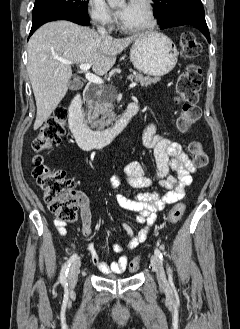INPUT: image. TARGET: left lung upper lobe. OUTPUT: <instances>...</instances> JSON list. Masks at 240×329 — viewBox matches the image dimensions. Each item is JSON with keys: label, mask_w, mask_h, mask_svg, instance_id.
Instances as JSON below:
<instances>
[{"label": "left lung upper lobe", "mask_w": 240, "mask_h": 329, "mask_svg": "<svg viewBox=\"0 0 240 329\" xmlns=\"http://www.w3.org/2000/svg\"><path fill=\"white\" fill-rule=\"evenodd\" d=\"M156 7L153 14L157 17L159 25L163 24L170 16L179 13H193L204 15L201 0H153Z\"/></svg>", "instance_id": "left-lung-upper-lobe-1"}]
</instances>
